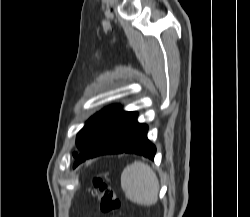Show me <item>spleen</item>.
<instances>
[{
  "label": "spleen",
  "mask_w": 250,
  "mask_h": 217,
  "mask_svg": "<svg viewBox=\"0 0 250 217\" xmlns=\"http://www.w3.org/2000/svg\"><path fill=\"white\" fill-rule=\"evenodd\" d=\"M121 187L126 198L133 203L151 206L158 201V178L155 172L141 161H134L124 168Z\"/></svg>",
  "instance_id": "obj_1"
}]
</instances>
